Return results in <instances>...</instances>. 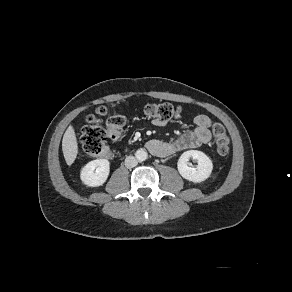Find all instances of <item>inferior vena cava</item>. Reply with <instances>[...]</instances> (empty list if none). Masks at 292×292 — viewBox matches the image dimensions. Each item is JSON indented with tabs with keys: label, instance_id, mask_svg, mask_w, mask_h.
<instances>
[{
	"label": "inferior vena cava",
	"instance_id": "1",
	"mask_svg": "<svg viewBox=\"0 0 292 292\" xmlns=\"http://www.w3.org/2000/svg\"><path fill=\"white\" fill-rule=\"evenodd\" d=\"M138 164V160L134 156H128L125 159V166L127 168H133Z\"/></svg>",
	"mask_w": 292,
	"mask_h": 292
}]
</instances>
